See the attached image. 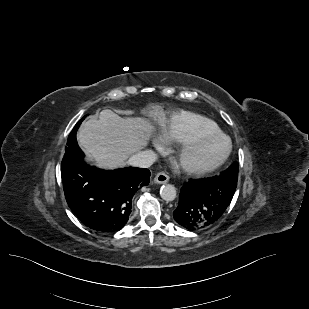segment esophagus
<instances>
[{
	"label": "esophagus",
	"instance_id": "1",
	"mask_svg": "<svg viewBox=\"0 0 309 309\" xmlns=\"http://www.w3.org/2000/svg\"><path fill=\"white\" fill-rule=\"evenodd\" d=\"M169 181V176L165 172H159L154 179L157 184H164Z\"/></svg>",
	"mask_w": 309,
	"mask_h": 309
}]
</instances>
